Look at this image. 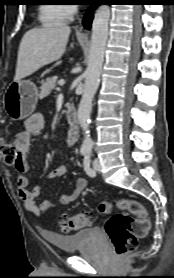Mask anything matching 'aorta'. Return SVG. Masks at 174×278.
<instances>
[{
    "mask_svg": "<svg viewBox=\"0 0 174 278\" xmlns=\"http://www.w3.org/2000/svg\"><path fill=\"white\" fill-rule=\"evenodd\" d=\"M110 19L109 5H100L94 15L88 66L85 71V83L78 107V120L83 130V150H91L93 141L89 134L92 101L99 87Z\"/></svg>",
    "mask_w": 174,
    "mask_h": 278,
    "instance_id": "762f6f07",
    "label": "aorta"
}]
</instances>
